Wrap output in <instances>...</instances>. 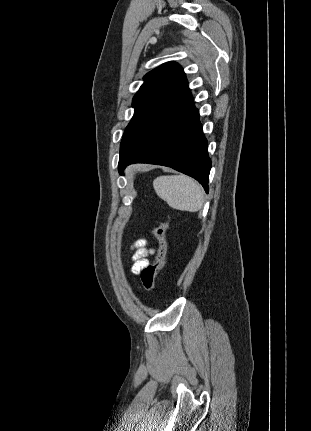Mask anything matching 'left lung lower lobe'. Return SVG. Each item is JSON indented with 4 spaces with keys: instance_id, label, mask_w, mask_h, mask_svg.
<instances>
[{
    "instance_id": "1",
    "label": "left lung lower lobe",
    "mask_w": 311,
    "mask_h": 431,
    "mask_svg": "<svg viewBox=\"0 0 311 431\" xmlns=\"http://www.w3.org/2000/svg\"><path fill=\"white\" fill-rule=\"evenodd\" d=\"M138 162L171 167L195 178L208 193L211 160L188 85L149 120L130 147L120 154L119 173Z\"/></svg>"
}]
</instances>
